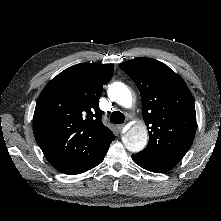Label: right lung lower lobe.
I'll return each mask as SVG.
<instances>
[{
  "label": "right lung lower lobe",
  "instance_id": "right-lung-lower-lobe-1",
  "mask_svg": "<svg viewBox=\"0 0 221 221\" xmlns=\"http://www.w3.org/2000/svg\"><path fill=\"white\" fill-rule=\"evenodd\" d=\"M102 160H103V159H102ZM102 160H100L98 163H96L93 167H95V166H97L98 164H100ZM93 167H92V168H93ZM90 169H91V168H90Z\"/></svg>",
  "mask_w": 221,
  "mask_h": 221
}]
</instances>
